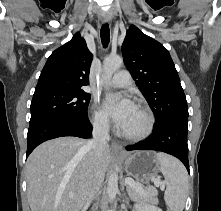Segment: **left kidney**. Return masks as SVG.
Returning a JSON list of instances; mask_svg holds the SVG:
<instances>
[{
  "instance_id": "left-kidney-1",
  "label": "left kidney",
  "mask_w": 221,
  "mask_h": 211,
  "mask_svg": "<svg viewBox=\"0 0 221 211\" xmlns=\"http://www.w3.org/2000/svg\"><path fill=\"white\" fill-rule=\"evenodd\" d=\"M136 211H162L159 207L146 204V203H139L134 205Z\"/></svg>"
}]
</instances>
